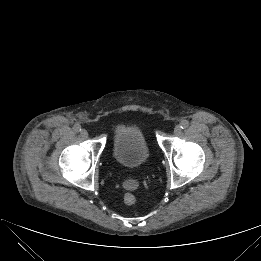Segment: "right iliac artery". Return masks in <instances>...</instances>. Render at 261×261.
Instances as JSON below:
<instances>
[{"label": "right iliac artery", "instance_id": "1", "mask_svg": "<svg viewBox=\"0 0 261 261\" xmlns=\"http://www.w3.org/2000/svg\"><path fill=\"white\" fill-rule=\"evenodd\" d=\"M73 129H74L75 132H80L81 126L79 124H76V125H74Z\"/></svg>", "mask_w": 261, "mask_h": 261}]
</instances>
